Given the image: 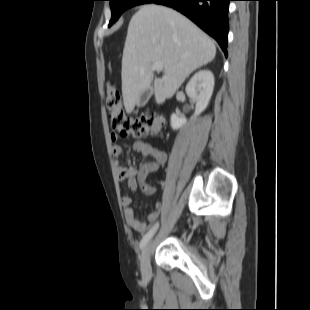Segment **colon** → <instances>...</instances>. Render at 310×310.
Instances as JSON below:
<instances>
[{
	"instance_id": "obj_1",
	"label": "colon",
	"mask_w": 310,
	"mask_h": 310,
	"mask_svg": "<svg viewBox=\"0 0 310 310\" xmlns=\"http://www.w3.org/2000/svg\"><path fill=\"white\" fill-rule=\"evenodd\" d=\"M106 107L112 127L121 135L144 137L158 134L163 128V118L157 112L126 113L116 85L110 82L106 84Z\"/></svg>"
}]
</instances>
